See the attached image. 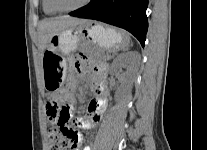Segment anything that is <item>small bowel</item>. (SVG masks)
I'll use <instances>...</instances> for the list:
<instances>
[{"mask_svg": "<svg viewBox=\"0 0 207 150\" xmlns=\"http://www.w3.org/2000/svg\"><path fill=\"white\" fill-rule=\"evenodd\" d=\"M92 71L94 72V80H93V88L97 93V97L92 100L88 106V113L86 116L77 117L75 119V125L78 128L82 129H91L94 127L96 122L100 119L107 103V95H108V87L104 81L105 77V68L102 64L97 62H89ZM78 73L82 72L81 68L77 69ZM69 86L74 88L76 86V79L74 77H70ZM67 101V108L71 117V110L73 99L69 95H62L60 97V101ZM81 142V135L78 133V144ZM82 150H92V145H82Z\"/></svg>", "mask_w": 207, "mask_h": 150, "instance_id": "obj_1", "label": "small bowel"}]
</instances>
